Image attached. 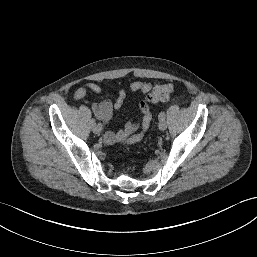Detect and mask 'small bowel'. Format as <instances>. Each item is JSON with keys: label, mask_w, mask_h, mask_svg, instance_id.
<instances>
[{"label": "small bowel", "mask_w": 257, "mask_h": 257, "mask_svg": "<svg viewBox=\"0 0 257 257\" xmlns=\"http://www.w3.org/2000/svg\"><path fill=\"white\" fill-rule=\"evenodd\" d=\"M152 84L146 81H135L130 84L129 92H139V93H149L152 90ZM101 93L102 88L99 84L95 82L85 83L83 86L78 88L74 94L73 99L78 101L84 98L88 93ZM127 97V92L125 90H120L117 94V99L114 103L110 100H103L99 104H93L92 109L95 115L103 121L104 123H109L114 109H120ZM140 117L135 121H130L117 132L107 131L104 134V142L106 144L114 143H126L133 144L139 142L144 132L148 129L152 115L148 105L145 102H141L138 106Z\"/></svg>", "instance_id": "1"}]
</instances>
